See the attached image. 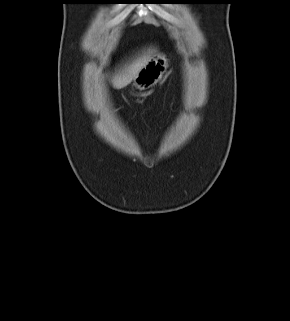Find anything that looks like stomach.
<instances>
[{"label": "stomach", "mask_w": 290, "mask_h": 321, "mask_svg": "<svg viewBox=\"0 0 290 321\" xmlns=\"http://www.w3.org/2000/svg\"><path fill=\"white\" fill-rule=\"evenodd\" d=\"M167 67L168 62L164 55H153L134 78L133 85L140 90L156 85L162 79Z\"/></svg>", "instance_id": "stomach-1"}]
</instances>
